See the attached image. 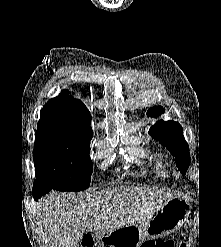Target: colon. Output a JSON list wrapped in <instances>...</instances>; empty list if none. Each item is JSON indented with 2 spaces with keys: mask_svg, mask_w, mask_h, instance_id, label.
Wrapping results in <instances>:
<instances>
[{
  "mask_svg": "<svg viewBox=\"0 0 221 247\" xmlns=\"http://www.w3.org/2000/svg\"><path fill=\"white\" fill-rule=\"evenodd\" d=\"M82 247H94V243L92 240L88 239L83 243ZM141 247H175V243L171 240H162L158 242L146 241ZM179 247H186V243L181 242Z\"/></svg>",
  "mask_w": 221,
  "mask_h": 247,
  "instance_id": "5ec220e1",
  "label": "colon"
}]
</instances>
